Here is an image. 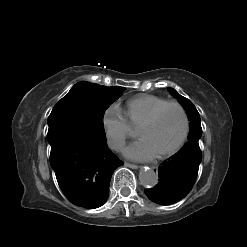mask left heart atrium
<instances>
[{
    "instance_id": "left-heart-atrium-1",
    "label": "left heart atrium",
    "mask_w": 247,
    "mask_h": 247,
    "mask_svg": "<svg viewBox=\"0 0 247 247\" xmlns=\"http://www.w3.org/2000/svg\"><path fill=\"white\" fill-rule=\"evenodd\" d=\"M124 154L127 158L139 161L149 160L156 155L148 142L142 138L127 146Z\"/></svg>"
}]
</instances>
